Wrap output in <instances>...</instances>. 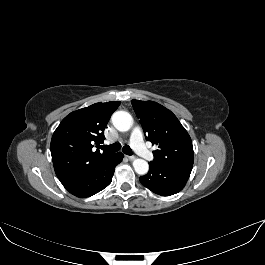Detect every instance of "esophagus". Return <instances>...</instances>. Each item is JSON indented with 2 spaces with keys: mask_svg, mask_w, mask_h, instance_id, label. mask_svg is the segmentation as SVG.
Instances as JSON below:
<instances>
[{
  "mask_svg": "<svg viewBox=\"0 0 265 265\" xmlns=\"http://www.w3.org/2000/svg\"><path fill=\"white\" fill-rule=\"evenodd\" d=\"M128 160L133 161L135 160V156H127Z\"/></svg>",
  "mask_w": 265,
  "mask_h": 265,
  "instance_id": "obj_1",
  "label": "esophagus"
}]
</instances>
